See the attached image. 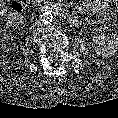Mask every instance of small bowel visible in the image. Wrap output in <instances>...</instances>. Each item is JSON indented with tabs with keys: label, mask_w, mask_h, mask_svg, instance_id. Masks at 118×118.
Listing matches in <instances>:
<instances>
[{
	"label": "small bowel",
	"mask_w": 118,
	"mask_h": 118,
	"mask_svg": "<svg viewBox=\"0 0 118 118\" xmlns=\"http://www.w3.org/2000/svg\"><path fill=\"white\" fill-rule=\"evenodd\" d=\"M85 6L98 14H106L110 10L105 0H86ZM114 39L118 43V32L114 34Z\"/></svg>",
	"instance_id": "1"
}]
</instances>
